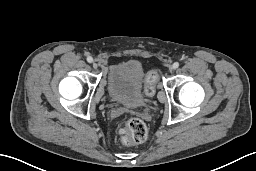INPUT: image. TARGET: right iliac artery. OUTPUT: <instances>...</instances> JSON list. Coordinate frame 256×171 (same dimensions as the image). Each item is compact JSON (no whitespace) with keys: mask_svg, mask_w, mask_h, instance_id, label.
I'll return each instance as SVG.
<instances>
[{"mask_svg":"<svg viewBox=\"0 0 256 171\" xmlns=\"http://www.w3.org/2000/svg\"><path fill=\"white\" fill-rule=\"evenodd\" d=\"M87 61L89 62V63H92L93 62V58L92 57H87Z\"/></svg>","mask_w":256,"mask_h":171,"instance_id":"obj_1","label":"right iliac artery"}]
</instances>
